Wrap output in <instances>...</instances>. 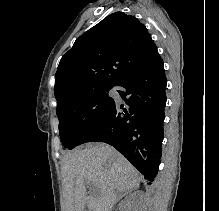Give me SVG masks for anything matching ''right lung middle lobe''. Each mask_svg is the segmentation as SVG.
Listing matches in <instances>:
<instances>
[{"instance_id":"dd1d6c3e","label":"right lung middle lobe","mask_w":219,"mask_h":211,"mask_svg":"<svg viewBox=\"0 0 219 211\" xmlns=\"http://www.w3.org/2000/svg\"><path fill=\"white\" fill-rule=\"evenodd\" d=\"M110 89L91 91L58 104L60 138L66 148L80 145L83 135L109 113L115 103L108 96Z\"/></svg>"}]
</instances>
